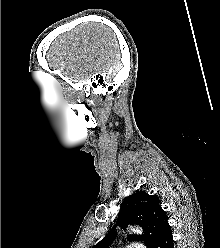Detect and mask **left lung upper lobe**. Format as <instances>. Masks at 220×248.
Returning a JSON list of instances; mask_svg holds the SVG:
<instances>
[{
    "instance_id": "5c2ea615",
    "label": "left lung upper lobe",
    "mask_w": 220,
    "mask_h": 248,
    "mask_svg": "<svg viewBox=\"0 0 220 248\" xmlns=\"http://www.w3.org/2000/svg\"><path fill=\"white\" fill-rule=\"evenodd\" d=\"M128 224L140 225L145 231L144 235H130L128 240L145 241L148 248L154 247L166 226L169 225L157 196L145 192L132 194L124 199L116 225L94 248H107L115 239L116 226L125 229Z\"/></svg>"
}]
</instances>
